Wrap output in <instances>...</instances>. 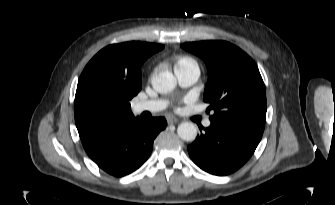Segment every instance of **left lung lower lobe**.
<instances>
[{
  "mask_svg": "<svg viewBox=\"0 0 335 205\" xmlns=\"http://www.w3.org/2000/svg\"><path fill=\"white\" fill-rule=\"evenodd\" d=\"M211 125L188 146L193 162L214 175H228L244 165L254 153L262 133L221 119Z\"/></svg>",
  "mask_w": 335,
  "mask_h": 205,
  "instance_id": "1",
  "label": "left lung lower lobe"
}]
</instances>
